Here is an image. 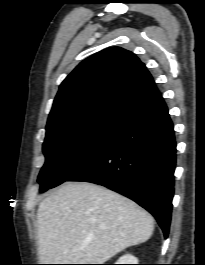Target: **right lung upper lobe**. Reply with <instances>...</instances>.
<instances>
[{
	"label": "right lung upper lobe",
	"mask_w": 205,
	"mask_h": 265,
	"mask_svg": "<svg viewBox=\"0 0 205 265\" xmlns=\"http://www.w3.org/2000/svg\"><path fill=\"white\" fill-rule=\"evenodd\" d=\"M161 98L151 74L132 52L104 49L83 60L61 83L46 132L112 122L123 125Z\"/></svg>",
	"instance_id": "1"
}]
</instances>
